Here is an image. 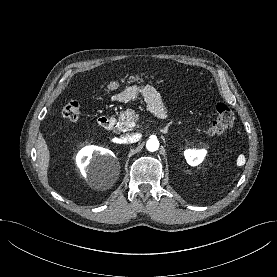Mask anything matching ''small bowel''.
I'll list each match as a JSON object with an SVG mask.
<instances>
[{
	"instance_id": "obj_1",
	"label": "small bowel",
	"mask_w": 277,
	"mask_h": 277,
	"mask_svg": "<svg viewBox=\"0 0 277 277\" xmlns=\"http://www.w3.org/2000/svg\"><path fill=\"white\" fill-rule=\"evenodd\" d=\"M141 95L146 101L149 110L159 118H165L167 109L159 92L151 85H132L113 95L111 100L127 102Z\"/></svg>"
}]
</instances>
